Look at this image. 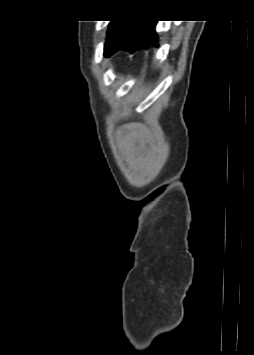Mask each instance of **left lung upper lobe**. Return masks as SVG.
Masks as SVG:
<instances>
[{"label": "left lung upper lobe", "instance_id": "left-lung-upper-lobe-1", "mask_svg": "<svg viewBox=\"0 0 254 355\" xmlns=\"http://www.w3.org/2000/svg\"><path fill=\"white\" fill-rule=\"evenodd\" d=\"M130 21H111L108 29V39L104 47V56L108 57L112 55V49L118 40L121 38L122 33L126 25Z\"/></svg>", "mask_w": 254, "mask_h": 355}]
</instances>
